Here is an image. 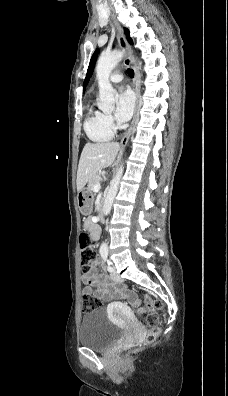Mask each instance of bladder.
Wrapping results in <instances>:
<instances>
[{
	"label": "bladder",
	"mask_w": 228,
	"mask_h": 396,
	"mask_svg": "<svg viewBox=\"0 0 228 396\" xmlns=\"http://www.w3.org/2000/svg\"><path fill=\"white\" fill-rule=\"evenodd\" d=\"M120 327L113 324L103 309L86 313L79 329V343L96 351H105L121 337Z\"/></svg>",
	"instance_id": "1"
}]
</instances>
